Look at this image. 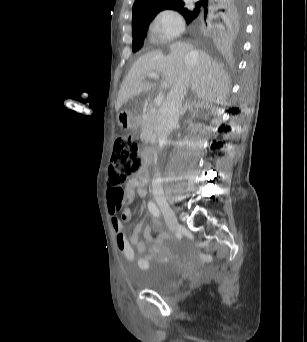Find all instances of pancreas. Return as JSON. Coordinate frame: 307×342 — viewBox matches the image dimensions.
I'll return each instance as SVG.
<instances>
[{
	"label": "pancreas",
	"instance_id": "cf45deb5",
	"mask_svg": "<svg viewBox=\"0 0 307 342\" xmlns=\"http://www.w3.org/2000/svg\"><path fill=\"white\" fill-rule=\"evenodd\" d=\"M155 114H156V112H148V114H144L143 122L141 124L142 130H145L146 122H149V124H152V126H153V124L156 120Z\"/></svg>",
	"mask_w": 307,
	"mask_h": 342
}]
</instances>
